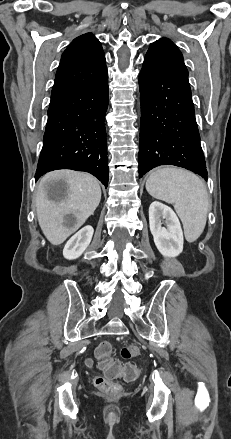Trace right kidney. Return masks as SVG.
<instances>
[{
    "mask_svg": "<svg viewBox=\"0 0 231 439\" xmlns=\"http://www.w3.org/2000/svg\"><path fill=\"white\" fill-rule=\"evenodd\" d=\"M93 233V227L88 225L73 235L63 249L64 258L68 260L79 258L89 246Z\"/></svg>",
    "mask_w": 231,
    "mask_h": 439,
    "instance_id": "obj_1",
    "label": "right kidney"
}]
</instances>
